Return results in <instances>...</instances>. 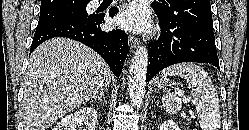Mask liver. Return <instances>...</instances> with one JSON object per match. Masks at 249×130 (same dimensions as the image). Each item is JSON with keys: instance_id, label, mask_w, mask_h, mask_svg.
Returning <instances> with one entry per match:
<instances>
[{"instance_id": "liver-1", "label": "liver", "mask_w": 249, "mask_h": 130, "mask_svg": "<svg viewBox=\"0 0 249 130\" xmlns=\"http://www.w3.org/2000/svg\"><path fill=\"white\" fill-rule=\"evenodd\" d=\"M107 63L91 48L67 38H53L30 56L21 104L24 130H47L111 81Z\"/></svg>"}]
</instances>
